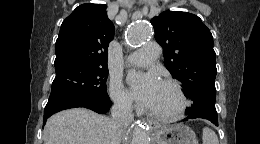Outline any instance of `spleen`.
Returning a JSON list of instances; mask_svg holds the SVG:
<instances>
[{
    "instance_id": "obj_1",
    "label": "spleen",
    "mask_w": 260,
    "mask_h": 144,
    "mask_svg": "<svg viewBox=\"0 0 260 144\" xmlns=\"http://www.w3.org/2000/svg\"><path fill=\"white\" fill-rule=\"evenodd\" d=\"M203 144H219L218 137L209 127L203 128Z\"/></svg>"
}]
</instances>
